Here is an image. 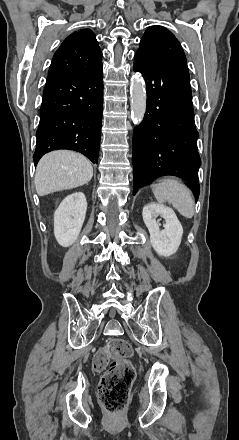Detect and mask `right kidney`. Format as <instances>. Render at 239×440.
I'll use <instances>...</instances> for the list:
<instances>
[{
    "instance_id": "obj_1",
    "label": "right kidney",
    "mask_w": 239,
    "mask_h": 440,
    "mask_svg": "<svg viewBox=\"0 0 239 440\" xmlns=\"http://www.w3.org/2000/svg\"><path fill=\"white\" fill-rule=\"evenodd\" d=\"M87 212L83 192H75L61 202L54 214V236L62 248H73Z\"/></svg>"
}]
</instances>
